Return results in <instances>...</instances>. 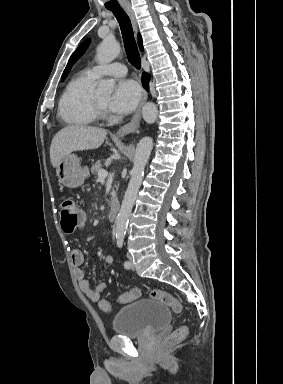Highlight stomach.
Segmentation results:
<instances>
[{
  "label": "stomach",
  "instance_id": "obj_1",
  "mask_svg": "<svg viewBox=\"0 0 283 384\" xmlns=\"http://www.w3.org/2000/svg\"><path fill=\"white\" fill-rule=\"evenodd\" d=\"M56 176L65 188H79L89 176L88 168H82L80 158L75 154H69L62 158L56 168Z\"/></svg>",
  "mask_w": 283,
  "mask_h": 384
}]
</instances>
